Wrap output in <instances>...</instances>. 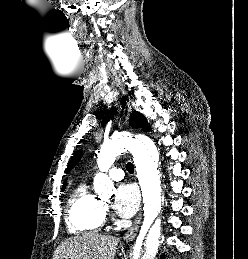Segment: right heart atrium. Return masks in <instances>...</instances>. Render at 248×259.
<instances>
[{
	"mask_svg": "<svg viewBox=\"0 0 248 259\" xmlns=\"http://www.w3.org/2000/svg\"><path fill=\"white\" fill-rule=\"evenodd\" d=\"M104 211L108 212V207L107 206H104Z\"/></svg>",
	"mask_w": 248,
	"mask_h": 259,
	"instance_id": "right-heart-atrium-1",
	"label": "right heart atrium"
}]
</instances>
